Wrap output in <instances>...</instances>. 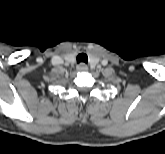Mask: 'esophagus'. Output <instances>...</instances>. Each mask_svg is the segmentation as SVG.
Segmentation results:
<instances>
[{
    "label": "esophagus",
    "instance_id": "obj_1",
    "mask_svg": "<svg viewBox=\"0 0 165 154\" xmlns=\"http://www.w3.org/2000/svg\"><path fill=\"white\" fill-rule=\"evenodd\" d=\"M77 70L78 71H81V72H84V71H87L88 70V67H87L86 64L80 63L79 65H77Z\"/></svg>",
    "mask_w": 165,
    "mask_h": 154
}]
</instances>
